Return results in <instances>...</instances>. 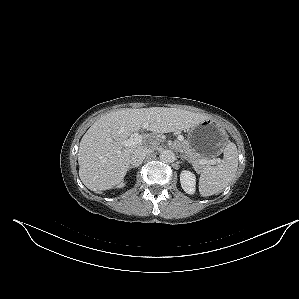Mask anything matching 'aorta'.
<instances>
[{"label":"aorta","mask_w":299,"mask_h":299,"mask_svg":"<svg viewBox=\"0 0 299 299\" xmlns=\"http://www.w3.org/2000/svg\"><path fill=\"white\" fill-rule=\"evenodd\" d=\"M159 157L164 163H172L175 159V154L172 150L165 149L160 152Z\"/></svg>","instance_id":"aorta-1"}]
</instances>
